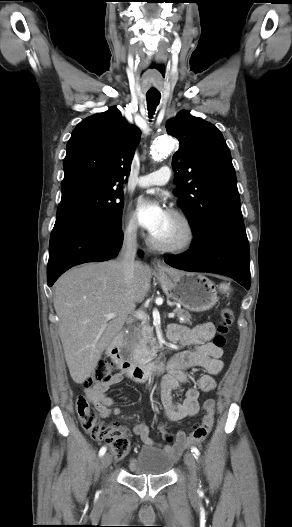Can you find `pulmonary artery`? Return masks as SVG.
Segmentation results:
<instances>
[{
	"label": "pulmonary artery",
	"instance_id": "1",
	"mask_svg": "<svg viewBox=\"0 0 292 527\" xmlns=\"http://www.w3.org/2000/svg\"><path fill=\"white\" fill-rule=\"evenodd\" d=\"M170 176V169L164 166L153 173L140 176L137 179V185L140 187L163 186L168 183Z\"/></svg>",
	"mask_w": 292,
	"mask_h": 527
}]
</instances>
